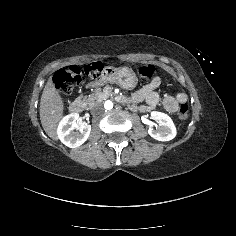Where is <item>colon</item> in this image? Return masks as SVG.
Returning a JSON list of instances; mask_svg holds the SVG:
<instances>
[{"instance_id":"obj_1","label":"colon","mask_w":236,"mask_h":236,"mask_svg":"<svg viewBox=\"0 0 236 236\" xmlns=\"http://www.w3.org/2000/svg\"><path fill=\"white\" fill-rule=\"evenodd\" d=\"M102 71L100 63H93L82 67L70 66L67 69H61L54 75V83L62 95L67 96L82 81L83 78L97 79ZM155 68L153 65H140L137 68V74L144 80L153 77ZM178 117L185 120L188 117V106L181 104L178 107Z\"/></svg>"}]
</instances>
